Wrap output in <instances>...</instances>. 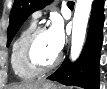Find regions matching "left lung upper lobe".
Segmentation results:
<instances>
[{"mask_svg":"<svg viewBox=\"0 0 107 89\" xmlns=\"http://www.w3.org/2000/svg\"><path fill=\"white\" fill-rule=\"evenodd\" d=\"M51 1L52 0H15L9 16L10 23L8 27L7 46L11 43L13 37L27 17Z\"/></svg>","mask_w":107,"mask_h":89,"instance_id":"left-lung-upper-lobe-1","label":"left lung upper lobe"}]
</instances>
